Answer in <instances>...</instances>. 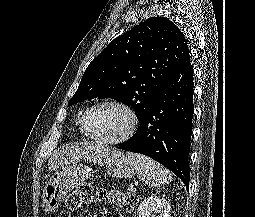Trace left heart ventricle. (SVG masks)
I'll return each mask as SVG.
<instances>
[{"mask_svg":"<svg viewBox=\"0 0 255 217\" xmlns=\"http://www.w3.org/2000/svg\"><path fill=\"white\" fill-rule=\"evenodd\" d=\"M128 122L126 113L111 105L99 106L87 117V127L90 132L106 139L121 135L127 128Z\"/></svg>","mask_w":255,"mask_h":217,"instance_id":"left-heart-ventricle-1","label":"left heart ventricle"}]
</instances>
